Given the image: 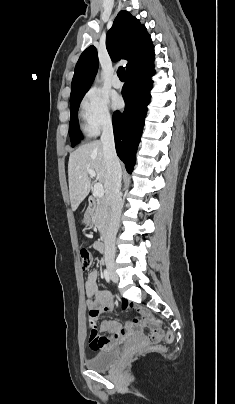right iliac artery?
I'll return each mask as SVG.
<instances>
[{
	"mask_svg": "<svg viewBox=\"0 0 235 404\" xmlns=\"http://www.w3.org/2000/svg\"><path fill=\"white\" fill-rule=\"evenodd\" d=\"M104 277L107 282H110V275L107 269L104 270Z\"/></svg>",
	"mask_w": 235,
	"mask_h": 404,
	"instance_id": "1",
	"label": "right iliac artery"
}]
</instances>
